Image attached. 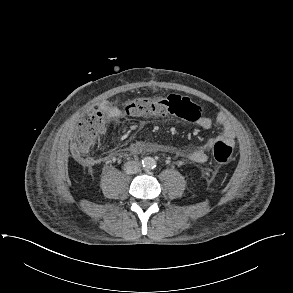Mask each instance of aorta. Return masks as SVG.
Segmentation results:
<instances>
[{"instance_id": "obj_1", "label": "aorta", "mask_w": 293, "mask_h": 293, "mask_svg": "<svg viewBox=\"0 0 293 293\" xmlns=\"http://www.w3.org/2000/svg\"><path fill=\"white\" fill-rule=\"evenodd\" d=\"M142 164L145 169H153L156 167V161L152 157H145Z\"/></svg>"}]
</instances>
